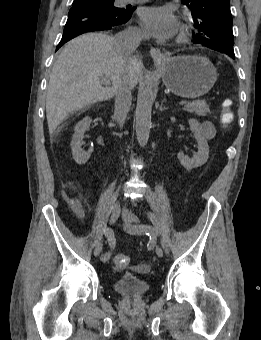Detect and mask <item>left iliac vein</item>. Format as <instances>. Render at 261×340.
<instances>
[{
  "mask_svg": "<svg viewBox=\"0 0 261 340\" xmlns=\"http://www.w3.org/2000/svg\"><path fill=\"white\" fill-rule=\"evenodd\" d=\"M122 218L124 221V229L132 234H143L144 232L135 229L134 226H138L137 219L126 209L122 211ZM155 247L156 254L158 257L162 258L164 255L163 249L156 242L153 243Z\"/></svg>",
  "mask_w": 261,
  "mask_h": 340,
  "instance_id": "1",
  "label": "left iliac vein"
}]
</instances>
